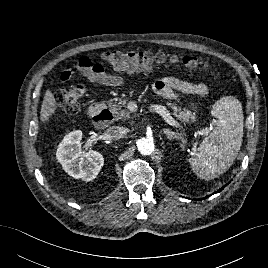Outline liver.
Wrapping results in <instances>:
<instances>
[{"label":"liver","mask_w":268,"mask_h":268,"mask_svg":"<svg viewBox=\"0 0 268 268\" xmlns=\"http://www.w3.org/2000/svg\"><path fill=\"white\" fill-rule=\"evenodd\" d=\"M56 100L54 94L48 89L44 95L40 111V120L45 123L56 111Z\"/></svg>","instance_id":"6515ba94"}]
</instances>
